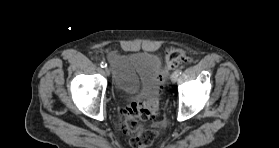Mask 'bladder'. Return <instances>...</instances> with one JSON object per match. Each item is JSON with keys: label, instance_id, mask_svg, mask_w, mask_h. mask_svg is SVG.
Instances as JSON below:
<instances>
[{"label": "bladder", "instance_id": "1", "mask_svg": "<svg viewBox=\"0 0 279 148\" xmlns=\"http://www.w3.org/2000/svg\"><path fill=\"white\" fill-rule=\"evenodd\" d=\"M125 60L140 78L139 97H147L155 92L159 85L160 58L153 53L136 52L128 55Z\"/></svg>", "mask_w": 279, "mask_h": 148}]
</instances>
